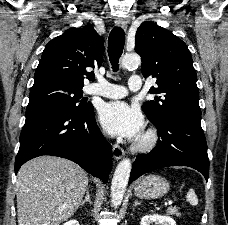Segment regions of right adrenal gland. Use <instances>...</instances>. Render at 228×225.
I'll return each instance as SVG.
<instances>
[{"instance_id": "2a0ac1e0", "label": "right adrenal gland", "mask_w": 228, "mask_h": 225, "mask_svg": "<svg viewBox=\"0 0 228 225\" xmlns=\"http://www.w3.org/2000/svg\"><path fill=\"white\" fill-rule=\"evenodd\" d=\"M84 203H90V205H91V199H90V195H89L88 189L86 191V197H85L84 201H82V203H80V205H84Z\"/></svg>"}]
</instances>
